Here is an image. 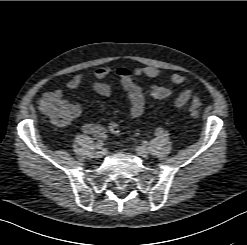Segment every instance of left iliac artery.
Returning <instances> with one entry per match:
<instances>
[{"mask_svg":"<svg viewBox=\"0 0 247 245\" xmlns=\"http://www.w3.org/2000/svg\"><path fill=\"white\" fill-rule=\"evenodd\" d=\"M163 132H164V129L163 128H157L155 130V135L160 136V135L163 134Z\"/></svg>","mask_w":247,"mask_h":245,"instance_id":"obj_1","label":"left iliac artery"}]
</instances>
